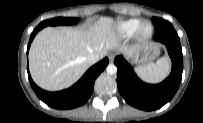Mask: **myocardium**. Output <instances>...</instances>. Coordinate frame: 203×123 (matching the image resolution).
<instances>
[{
	"label": "myocardium",
	"mask_w": 203,
	"mask_h": 123,
	"mask_svg": "<svg viewBox=\"0 0 203 123\" xmlns=\"http://www.w3.org/2000/svg\"><path fill=\"white\" fill-rule=\"evenodd\" d=\"M145 25H149L150 26V30L147 34H144L142 32V29ZM153 31H154V28H153V25L151 22L149 21H141V23L138 25V27L136 28L135 32H134V36L137 40H140V41H144V40H147L149 39L152 35H153Z\"/></svg>",
	"instance_id": "obj_1"
}]
</instances>
